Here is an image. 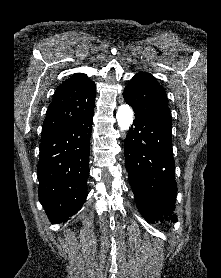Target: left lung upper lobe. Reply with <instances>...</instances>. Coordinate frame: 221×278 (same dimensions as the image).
<instances>
[{
    "label": "left lung upper lobe",
    "instance_id": "5c2ea615",
    "mask_svg": "<svg viewBox=\"0 0 221 278\" xmlns=\"http://www.w3.org/2000/svg\"><path fill=\"white\" fill-rule=\"evenodd\" d=\"M124 100L135 114L144 116L170 115L163 87L149 73L135 75L123 92Z\"/></svg>",
    "mask_w": 221,
    "mask_h": 278
}]
</instances>
